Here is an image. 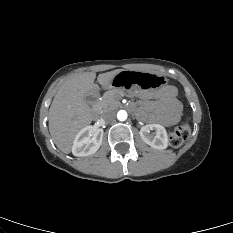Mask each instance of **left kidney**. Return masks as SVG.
<instances>
[{"instance_id":"left-kidney-1","label":"left kidney","mask_w":233,"mask_h":233,"mask_svg":"<svg viewBox=\"0 0 233 233\" xmlns=\"http://www.w3.org/2000/svg\"><path fill=\"white\" fill-rule=\"evenodd\" d=\"M150 130L155 131V136L150 134ZM142 140L154 149L163 150L168 146V136L166 129L159 124H148L140 129Z\"/></svg>"}]
</instances>
